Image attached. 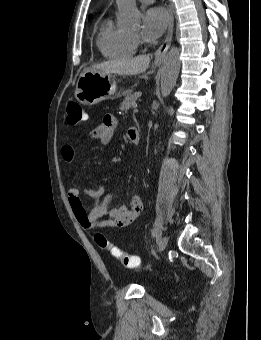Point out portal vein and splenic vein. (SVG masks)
<instances>
[{
	"mask_svg": "<svg viewBox=\"0 0 261 340\" xmlns=\"http://www.w3.org/2000/svg\"><path fill=\"white\" fill-rule=\"evenodd\" d=\"M133 108H134V109H133V112H134V113H137V112L139 111L137 105H134Z\"/></svg>",
	"mask_w": 261,
	"mask_h": 340,
	"instance_id": "portal-vein-and-splenic-vein-1",
	"label": "portal vein and splenic vein"
}]
</instances>
